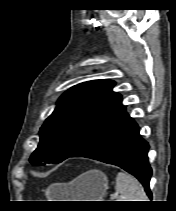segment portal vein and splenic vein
Segmentation results:
<instances>
[{"label":"portal vein and splenic vein","instance_id":"18ae733b","mask_svg":"<svg viewBox=\"0 0 176 211\" xmlns=\"http://www.w3.org/2000/svg\"><path fill=\"white\" fill-rule=\"evenodd\" d=\"M115 198H118V195L117 194H114L111 199H115Z\"/></svg>","mask_w":176,"mask_h":211}]
</instances>
